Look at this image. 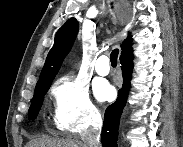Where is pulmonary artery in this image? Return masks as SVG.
Listing matches in <instances>:
<instances>
[{
	"instance_id": "1",
	"label": "pulmonary artery",
	"mask_w": 183,
	"mask_h": 147,
	"mask_svg": "<svg viewBox=\"0 0 183 147\" xmlns=\"http://www.w3.org/2000/svg\"><path fill=\"white\" fill-rule=\"evenodd\" d=\"M95 71L101 76H106L110 72L109 58L106 55H101L95 64Z\"/></svg>"
}]
</instances>
